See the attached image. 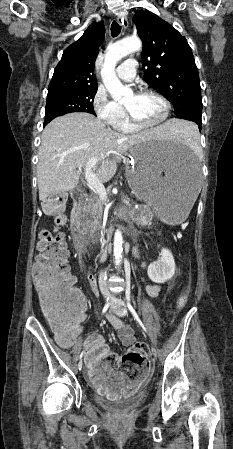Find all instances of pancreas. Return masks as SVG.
Returning a JSON list of instances; mask_svg holds the SVG:
<instances>
[{
    "instance_id": "cf45deb5",
    "label": "pancreas",
    "mask_w": 233,
    "mask_h": 449,
    "mask_svg": "<svg viewBox=\"0 0 233 449\" xmlns=\"http://www.w3.org/2000/svg\"><path fill=\"white\" fill-rule=\"evenodd\" d=\"M84 212L90 215V225L94 228V231L100 225L103 216V202L97 195H91L87 201V204L83 208ZM121 214L130 219L132 222L139 226L150 225L154 216V213L149 208L141 207L139 209H129L122 207Z\"/></svg>"
}]
</instances>
